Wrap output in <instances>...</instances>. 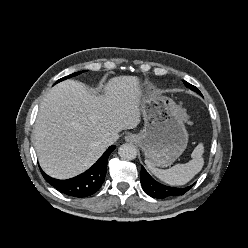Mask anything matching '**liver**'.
<instances>
[{"label":"liver","instance_id":"1","mask_svg":"<svg viewBox=\"0 0 248 248\" xmlns=\"http://www.w3.org/2000/svg\"><path fill=\"white\" fill-rule=\"evenodd\" d=\"M140 96L136 76L111 78L101 96L74 80L55 85L41 102L33 131L42 169L68 179L90 168L107 149L106 136L138 126Z\"/></svg>","mask_w":248,"mask_h":248}]
</instances>
